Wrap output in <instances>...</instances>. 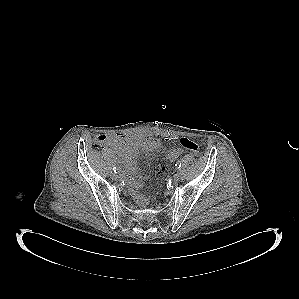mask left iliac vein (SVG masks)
Here are the masks:
<instances>
[{"label": "left iliac vein", "instance_id": "left-iliac-vein-1", "mask_svg": "<svg viewBox=\"0 0 299 299\" xmlns=\"http://www.w3.org/2000/svg\"><path fill=\"white\" fill-rule=\"evenodd\" d=\"M181 179V174L179 172H177L174 176H173V181L174 182H179Z\"/></svg>", "mask_w": 299, "mask_h": 299}]
</instances>
